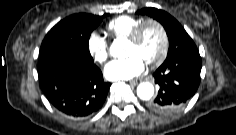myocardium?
<instances>
[{"mask_svg": "<svg viewBox=\"0 0 236 135\" xmlns=\"http://www.w3.org/2000/svg\"><path fill=\"white\" fill-rule=\"evenodd\" d=\"M148 24H153L154 26H156L158 28V30L160 31L161 38H162L161 50H160L158 56L155 59L146 62L150 66H156V65H159L163 62V60L165 59V57L167 55L168 48H169V37H168L167 31H166L164 25L160 21H158L157 19H154V18H147V19L142 20L133 29L132 33L127 38V41L132 44H137L141 38L144 28Z\"/></svg>", "mask_w": 236, "mask_h": 135, "instance_id": "1", "label": "myocardium"}]
</instances>
